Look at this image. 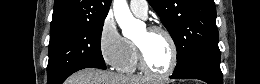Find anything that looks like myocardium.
<instances>
[{"label":"myocardium","instance_id":"f54148a6","mask_svg":"<svg viewBox=\"0 0 260 84\" xmlns=\"http://www.w3.org/2000/svg\"><path fill=\"white\" fill-rule=\"evenodd\" d=\"M146 30L149 33L160 32L167 38V40L170 44V49H171V59H170L169 67L166 71H164V72L153 71L148 66V64L145 60L142 47L136 42L135 50H136L139 69L146 75L153 77V78H168L171 75H173V73L175 72L177 65H178V47H177L176 40H175L174 36L172 35V33L162 25H150L146 28Z\"/></svg>","mask_w":260,"mask_h":84}]
</instances>
